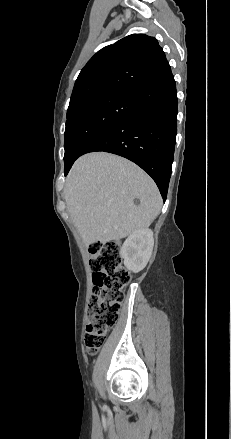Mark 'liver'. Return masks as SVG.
I'll return each instance as SVG.
<instances>
[{
  "instance_id": "6515ba94",
  "label": "liver",
  "mask_w": 231,
  "mask_h": 439,
  "mask_svg": "<svg viewBox=\"0 0 231 439\" xmlns=\"http://www.w3.org/2000/svg\"><path fill=\"white\" fill-rule=\"evenodd\" d=\"M64 196L86 246L146 229L162 206L155 182L142 169L104 152L89 153L76 160L66 178ZM135 199H139L138 205Z\"/></svg>"
}]
</instances>
